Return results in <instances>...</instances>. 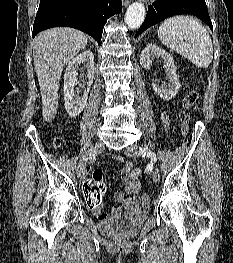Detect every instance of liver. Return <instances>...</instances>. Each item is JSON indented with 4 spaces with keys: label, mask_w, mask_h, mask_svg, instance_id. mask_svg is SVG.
I'll return each instance as SVG.
<instances>
[{
    "label": "liver",
    "mask_w": 233,
    "mask_h": 263,
    "mask_svg": "<svg viewBox=\"0 0 233 263\" xmlns=\"http://www.w3.org/2000/svg\"><path fill=\"white\" fill-rule=\"evenodd\" d=\"M87 42V35L69 27L48 29L35 37L33 58L45 121L50 122L57 114L63 68L86 47Z\"/></svg>",
    "instance_id": "6515ba94"
}]
</instances>
